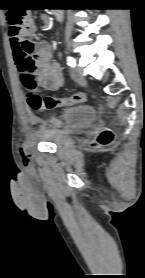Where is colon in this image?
I'll list each match as a JSON object with an SVG mask.
<instances>
[{
	"label": "colon",
	"instance_id": "1",
	"mask_svg": "<svg viewBox=\"0 0 145 278\" xmlns=\"http://www.w3.org/2000/svg\"><path fill=\"white\" fill-rule=\"evenodd\" d=\"M7 23L9 35L20 41L22 49L31 53L34 50V45L26 39L28 27L31 23L29 12L23 8H14L7 14ZM22 81L27 88V103L33 111H45L55 107H70L82 103L86 99L84 94H74L64 98L50 95L42 96L36 89V76L33 73L24 76ZM112 139V131L108 128H103L99 134L98 143L106 145ZM20 149L24 155L29 153V148L25 142H22Z\"/></svg>",
	"mask_w": 145,
	"mask_h": 278
}]
</instances>
